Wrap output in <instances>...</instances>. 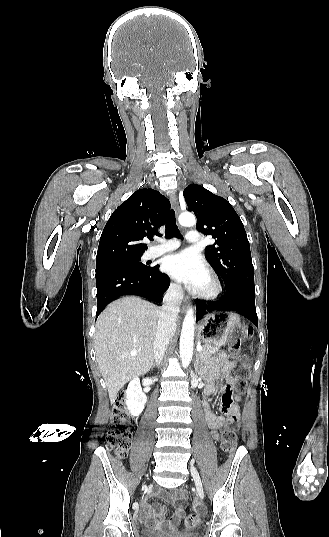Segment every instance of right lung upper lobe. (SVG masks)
<instances>
[{"label": "right lung upper lobe", "instance_id": "obj_1", "mask_svg": "<svg viewBox=\"0 0 329 537\" xmlns=\"http://www.w3.org/2000/svg\"><path fill=\"white\" fill-rule=\"evenodd\" d=\"M169 200L153 189H139L112 213L100 237L96 265L141 257L147 249L144 237L160 235Z\"/></svg>", "mask_w": 329, "mask_h": 537}]
</instances>
